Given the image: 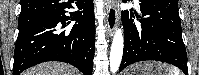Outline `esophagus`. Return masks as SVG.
I'll use <instances>...</instances> for the list:
<instances>
[{
	"label": "esophagus",
	"mask_w": 199,
	"mask_h": 75,
	"mask_svg": "<svg viewBox=\"0 0 199 75\" xmlns=\"http://www.w3.org/2000/svg\"><path fill=\"white\" fill-rule=\"evenodd\" d=\"M105 9H106V27L108 33L112 36L114 34L116 20H117V14L114 10L112 0H106L105 1Z\"/></svg>",
	"instance_id": "34e87169"
}]
</instances>
